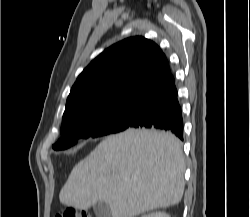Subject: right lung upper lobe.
<instances>
[{"label": "right lung upper lobe", "instance_id": "1", "mask_svg": "<svg viewBox=\"0 0 250 217\" xmlns=\"http://www.w3.org/2000/svg\"><path fill=\"white\" fill-rule=\"evenodd\" d=\"M171 77L168 61L154 42L143 37L125 39L104 50L78 76L62 122L86 111L139 101Z\"/></svg>", "mask_w": 250, "mask_h": 217}]
</instances>
